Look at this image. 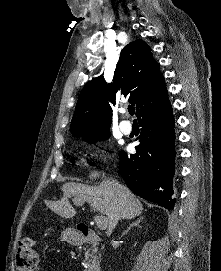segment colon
I'll use <instances>...</instances> for the list:
<instances>
[{"label": "colon", "instance_id": "1", "mask_svg": "<svg viewBox=\"0 0 221 271\" xmlns=\"http://www.w3.org/2000/svg\"><path fill=\"white\" fill-rule=\"evenodd\" d=\"M16 264L18 271L41 270L39 255L33 239L26 237L19 241Z\"/></svg>", "mask_w": 221, "mask_h": 271}]
</instances>
